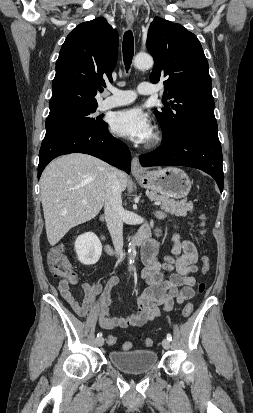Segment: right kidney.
Masks as SVG:
<instances>
[{"label": "right kidney", "mask_w": 253, "mask_h": 413, "mask_svg": "<svg viewBox=\"0 0 253 413\" xmlns=\"http://www.w3.org/2000/svg\"><path fill=\"white\" fill-rule=\"evenodd\" d=\"M75 251L82 264L93 265L100 259L102 245L96 234L87 232L77 237Z\"/></svg>", "instance_id": "obj_1"}]
</instances>
